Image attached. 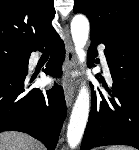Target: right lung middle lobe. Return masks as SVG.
I'll return each instance as SVG.
<instances>
[{
    "instance_id": "obj_1",
    "label": "right lung middle lobe",
    "mask_w": 139,
    "mask_h": 150,
    "mask_svg": "<svg viewBox=\"0 0 139 150\" xmlns=\"http://www.w3.org/2000/svg\"><path fill=\"white\" fill-rule=\"evenodd\" d=\"M27 52L11 46L0 45V61H26Z\"/></svg>"
}]
</instances>
